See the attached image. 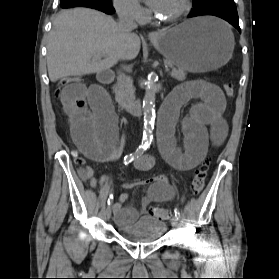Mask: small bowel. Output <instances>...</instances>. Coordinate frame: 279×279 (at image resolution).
<instances>
[{"label":"small bowel","mask_w":279,"mask_h":279,"mask_svg":"<svg viewBox=\"0 0 279 279\" xmlns=\"http://www.w3.org/2000/svg\"><path fill=\"white\" fill-rule=\"evenodd\" d=\"M59 98L68 118L72 138L81 153L99 163L116 159L121 151L119 119L106 90L99 85L87 87L77 82L64 87ZM191 99H198L199 102L192 106L190 114L182 121V151L175 143L174 126L180 108ZM225 106L222 91L211 83L191 81L177 87L159 113L158 141L165 160L176 169L191 170L205 157L210 144L220 146L228 131L223 117ZM154 163L153 156L144 155L134 161V168L148 171ZM78 175L92 187L100 183V177L94 174L91 166L80 168ZM141 183L149 185L147 194L141 201V210L124 206L127 194L117 197L114 215L118 223L131 224L151 202L169 201L175 195L174 187L165 176L152 177ZM123 185L130 187L132 183Z\"/></svg>","instance_id":"small-bowel-1"}]
</instances>
